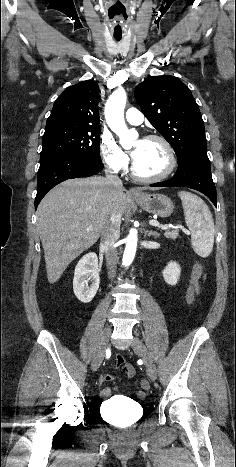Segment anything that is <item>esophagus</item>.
<instances>
[{
	"mask_svg": "<svg viewBox=\"0 0 236 467\" xmlns=\"http://www.w3.org/2000/svg\"><path fill=\"white\" fill-rule=\"evenodd\" d=\"M128 192L131 195H140L141 194V191L136 189V188H130Z\"/></svg>",
	"mask_w": 236,
	"mask_h": 467,
	"instance_id": "esophagus-1",
	"label": "esophagus"
}]
</instances>
